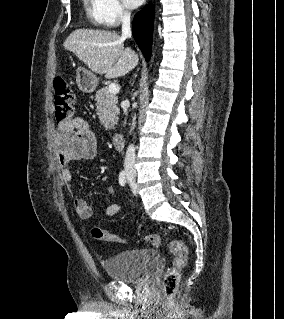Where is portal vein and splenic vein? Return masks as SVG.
<instances>
[{
    "instance_id": "obj_1",
    "label": "portal vein and splenic vein",
    "mask_w": 284,
    "mask_h": 319,
    "mask_svg": "<svg viewBox=\"0 0 284 319\" xmlns=\"http://www.w3.org/2000/svg\"><path fill=\"white\" fill-rule=\"evenodd\" d=\"M119 90H120L119 86L115 83H111L108 87L109 93L114 94V95L119 93Z\"/></svg>"
}]
</instances>
